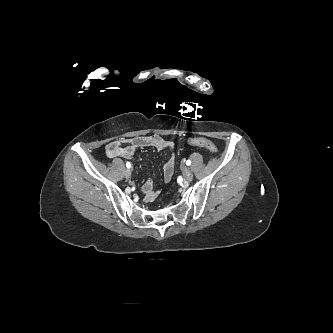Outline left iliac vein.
Here are the masks:
<instances>
[{
  "label": "left iliac vein",
  "mask_w": 333,
  "mask_h": 333,
  "mask_svg": "<svg viewBox=\"0 0 333 333\" xmlns=\"http://www.w3.org/2000/svg\"><path fill=\"white\" fill-rule=\"evenodd\" d=\"M182 170H183L185 182H191L192 179H193V174L190 171V169L188 167H186V166H183Z\"/></svg>",
  "instance_id": "4c4485c4"
}]
</instances>
